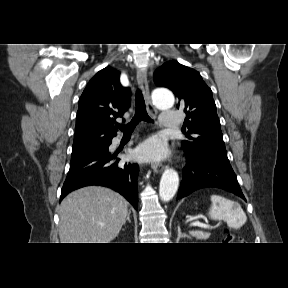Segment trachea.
I'll return each mask as SVG.
<instances>
[{"label": "trachea", "instance_id": "obj_1", "mask_svg": "<svg viewBox=\"0 0 288 288\" xmlns=\"http://www.w3.org/2000/svg\"><path fill=\"white\" fill-rule=\"evenodd\" d=\"M135 102H136L135 115L132 118V120L127 125L123 124L116 125L123 132H129L134 130L135 126L142 120L146 122H153L152 119L147 114L145 101L143 99L141 91L139 90L136 92Z\"/></svg>", "mask_w": 288, "mask_h": 288}]
</instances>
